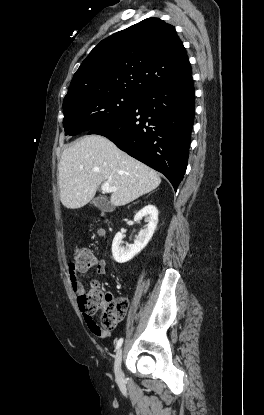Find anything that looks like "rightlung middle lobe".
<instances>
[{
    "label": "right lung middle lobe",
    "mask_w": 264,
    "mask_h": 415,
    "mask_svg": "<svg viewBox=\"0 0 264 415\" xmlns=\"http://www.w3.org/2000/svg\"><path fill=\"white\" fill-rule=\"evenodd\" d=\"M139 96L107 92L72 97L63 101L65 135H76L107 123L132 109Z\"/></svg>",
    "instance_id": "obj_1"
}]
</instances>
